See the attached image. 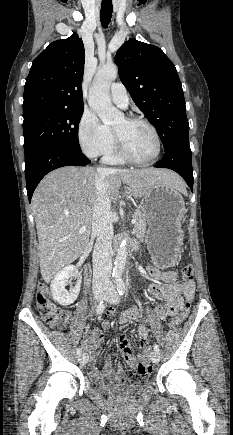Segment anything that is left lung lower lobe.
Here are the masks:
<instances>
[{
  "label": "left lung lower lobe",
  "mask_w": 233,
  "mask_h": 435,
  "mask_svg": "<svg viewBox=\"0 0 233 435\" xmlns=\"http://www.w3.org/2000/svg\"><path fill=\"white\" fill-rule=\"evenodd\" d=\"M155 167L168 168L176 171L184 178L193 191L192 155L189 140L179 142L165 150L161 162L155 165Z\"/></svg>",
  "instance_id": "obj_1"
}]
</instances>
